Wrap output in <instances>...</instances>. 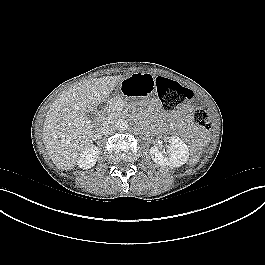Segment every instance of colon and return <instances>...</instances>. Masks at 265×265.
<instances>
[{"label":"colon","instance_id":"obj_1","mask_svg":"<svg viewBox=\"0 0 265 265\" xmlns=\"http://www.w3.org/2000/svg\"><path fill=\"white\" fill-rule=\"evenodd\" d=\"M156 89L162 107L166 111H172L179 105L188 103L193 97L191 90L182 86L177 81L165 77H158L156 79ZM193 118L199 127L205 130L211 128L210 115L206 107L197 108Z\"/></svg>","mask_w":265,"mask_h":265}]
</instances>
